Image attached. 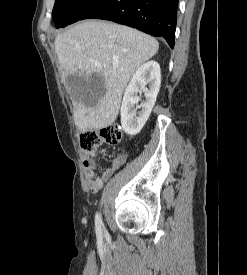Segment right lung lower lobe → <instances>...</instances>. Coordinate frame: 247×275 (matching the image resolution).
Listing matches in <instances>:
<instances>
[{"label":"right lung lower lobe","instance_id":"obj_1","mask_svg":"<svg viewBox=\"0 0 247 275\" xmlns=\"http://www.w3.org/2000/svg\"><path fill=\"white\" fill-rule=\"evenodd\" d=\"M179 0H99L81 16L104 19L162 36L174 48Z\"/></svg>","mask_w":247,"mask_h":275}]
</instances>
